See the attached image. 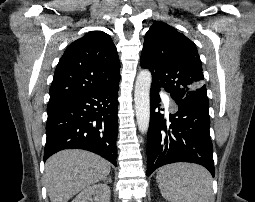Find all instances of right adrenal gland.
<instances>
[{
  "mask_svg": "<svg viewBox=\"0 0 255 202\" xmlns=\"http://www.w3.org/2000/svg\"><path fill=\"white\" fill-rule=\"evenodd\" d=\"M111 177H107L104 179V183H111Z\"/></svg>",
  "mask_w": 255,
  "mask_h": 202,
  "instance_id": "right-adrenal-gland-1",
  "label": "right adrenal gland"
}]
</instances>
